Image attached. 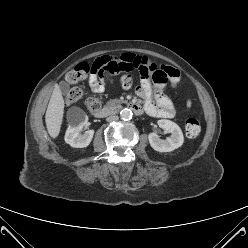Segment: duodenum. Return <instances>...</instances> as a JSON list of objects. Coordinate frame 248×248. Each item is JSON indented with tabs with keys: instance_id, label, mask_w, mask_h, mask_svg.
<instances>
[{
	"instance_id": "410a0bca",
	"label": "duodenum",
	"mask_w": 248,
	"mask_h": 248,
	"mask_svg": "<svg viewBox=\"0 0 248 248\" xmlns=\"http://www.w3.org/2000/svg\"><path fill=\"white\" fill-rule=\"evenodd\" d=\"M128 107H129L132 111H134L136 114H140V113L143 111V109H142V107H141L140 105H138V104H136V103H133V102L129 103V104H128ZM109 114H110V110H109V109H107V108H102V109H100L99 111H97V112L95 113V116H96L97 118H104V117L108 116Z\"/></svg>"
}]
</instances>
